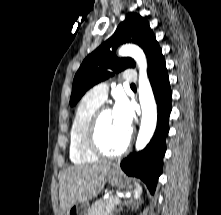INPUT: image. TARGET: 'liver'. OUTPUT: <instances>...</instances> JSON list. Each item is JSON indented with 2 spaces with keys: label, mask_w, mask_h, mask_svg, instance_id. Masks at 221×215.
Listing matches in <instances>:
<instances>
[{
  "label": "liver",
  "mask_w": 221,
  "mask_h": 215,
  "mask_svg": "<svg viewBox=\"0 0 221 215\" xmlns=\"http://www.w3.org/2000/svg\"><path fill=\"white\" fill-rule=\"evenodd\" d=\"M110 167V164H95L66 169L59 187L61 211L66 212L73 205L96 197L104 188Z\"/></svg>",
  "instance_id": "1"
}]
</instances>
